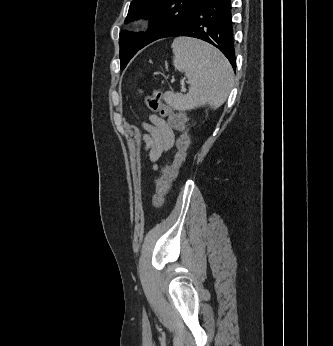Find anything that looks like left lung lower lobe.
Segmentation results:
<instances>
[{
  "label": "left lung lower lobe",
  "instance_id": "1",
  "mask_svg": "<svg viewBox=\"0 0 333 346\" xmlns=\"http://www.w3.org/2000/svg\"><path fill=\"white\" fill-rule=\"evenodd\" d=\"M175 36L194 37L214 45L228 58L234 71L236 70L230 0H203L161 38Z\"/></svg>",
  "mask_w": 333,
  "mask_h": 346
}]
</instances>
